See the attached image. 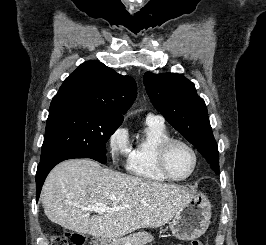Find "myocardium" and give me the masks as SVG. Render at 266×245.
I'll return each mask as SVG.
<instances>
[{
    "label": "myocardium",
    "mask_w": 266,
    "mask_h": 245,
    "mask_svg": "<svg viewBox=\"0 0 266 245\" xmlns=\"http://www.w3.org/2000/svg\"><path fill=\"white\" fill-rule=\"evenodd\" d=\"M183 144L184 146H186L193 154L194 156V166L193 169L191 170V172L183 178H176L169 170L168 165H167V155L168 152L170 150V148L174 145V144ZM157 163H158V167L161 171V173L170 181H175V182H183L186 180H189L190 178H192L194 176V174L196 173L198 166H199V154L197 152V150L195 149V147L189 143L188 141L182 139V138H178V137H169L167 139H165L164 141H162L158 147L157 150Z\"/></svg>",
    "instance_id": "myocardium-1"
}]
</instances>
